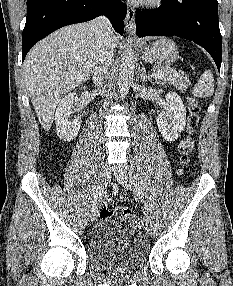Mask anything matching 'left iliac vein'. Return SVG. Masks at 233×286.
Here are the masks:
<instances>
[{
  "label": "left iliac vein",
  "instance_id": "1",
  "mask_svg": "<svg viewBox=\"0 0 233 286\" xmlns=\"http://www.w3.org/2000/svg\"><path fill=\"white\" fill-rule=\"evenodd\" d=\"M118 182L124 186L127 190L132 191L134 189V178L129 169H124L122 172L116 175ZM145 229L149 235L154 234V226L149 214H145Z\"/></svg>",
  "mask_w": 233,
  "mask_h": 286
}]
</instances>
